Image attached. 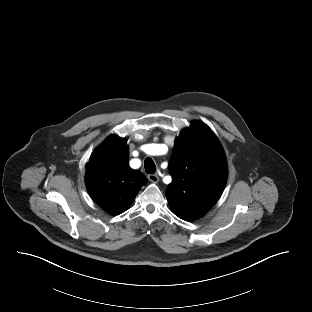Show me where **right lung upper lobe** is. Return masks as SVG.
<instances>
[{"instance_id":"obj_1","label":"right lung upper lobe","mask_w":312,"mask_h":312,"mask_svg":"<svg viewBox=\"0 0 312 312\" xmlns=\"http://www.w3.org/2000/svg\"><path fill=\"white\" fill-rule=\"evenodd\" d=\"M129 150L124 139L111 135L91 155L85 181L92 199L112 215L125 211L140 188L147 183L139 170L128 164Z\"/></svg>"}]
</instances>
